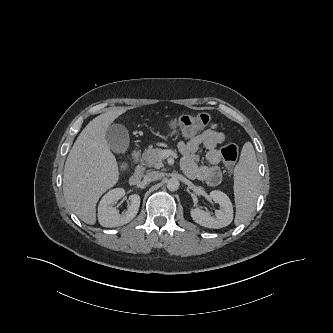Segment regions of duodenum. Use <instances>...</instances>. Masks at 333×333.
<instances>
[{
    "label": "duodenum",
    "mask_w": 333,
    "mask_h": 333,
    "mask_svg": "<svg viewBox=\"0 0 333 333\" xmlns=\"http://www.w3.org/2000/svg\"><path fill=\"white\" fill-rule=\"evenodd\" d=\"M133 160L137 164V167L134 173L129 178V184L132 186H136L139 184L143 176V167L140 165L141 153L139 151H135L133 153Z\"/></svg>",
    "instance_id": "1"
}]
</instances>
